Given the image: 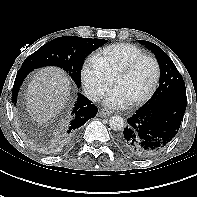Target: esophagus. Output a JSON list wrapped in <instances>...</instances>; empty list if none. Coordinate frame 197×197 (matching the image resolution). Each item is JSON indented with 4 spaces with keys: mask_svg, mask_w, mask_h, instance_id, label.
Listing matches in <instances>:
<instances>
[{
    "mask_svg": "<svg viewBox=\"0 0 197 197\" xmlns=\"http://www.w3.org/2000/svg\"><path fill=\"white\" fill-rule=\"evenodd\" d=\"M112 113L113 112L111 110L107 109V108H102L100 110V115H102L104 117L110 116V115H112Z\"/></svg>",
    "mask_w": 197,
    "mask_h": 197,
    "instance_id": "esophagus-1",
    "label": "esophagus"
}]
</instances>
